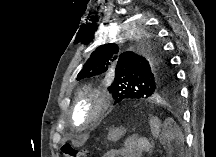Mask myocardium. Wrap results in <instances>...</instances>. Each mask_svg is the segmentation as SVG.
I'll list each match as a JSON object with an SVG mask.
<instances>
[{
  "mask_svg": "<svg viewBox=\"0 0 216 157\" xmlns=\"http://www.w3.org/2000/svg\"><path fill=\"white\" fill-rule=\"evenodd\" d=\"M110 106V98L103 89L85 86L76 92L74 103L71 108L72 123L79 128H85L97 121ZM82 107L89 108L87 118L77 123L76 113Z\"/></svg>",
  "mask_w": 216,
  "mask_h": 157,
  "instance_id": "obj_1",
  "label": "myocardium"
}]
</instances>
